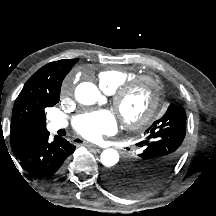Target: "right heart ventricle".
Returning <instances> with one entry per match:
<instances>
[{"mask_svg": "<svg viewBox=\"0 0 216 216\" xmlns=\"http://www.w3.org/2000/svg\"><path fill=\"white\" fill-rule=\"evenodd\" d=\"M135 77V73L125 68H108L99 72L98 83L107 93H113L119 86Z\"/></svg>", "mask_w": 216, "mask_h": 216, "instance_id": "1", "label": "right heart ventricle"}]
</instances>
